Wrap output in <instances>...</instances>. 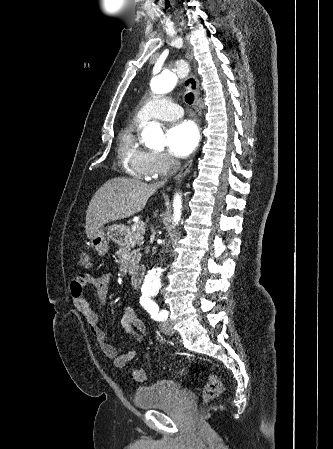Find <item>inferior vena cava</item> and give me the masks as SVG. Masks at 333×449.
Instances as JSON below:
<instances>
[{"mask_svg":"<svg viewBox=\"0 0 333 449\" xmlns=\"http://www.w3.org/2000/svg\"><path fill=\"white\" fill-rule=\"evenodd\" d=\"M179 166H180V163H179L178 161H176V160L173 159V160L171 161V168H172L171 174H173V171L175 172V171L179 168ZM166 181H167V179H165L164 181H161L159 184L162 185V184H164Z\"/></svg>","mask_w":333,"mask_h":449,"instance_id":"1","label":"inferior vena cava"}]
</instances>
